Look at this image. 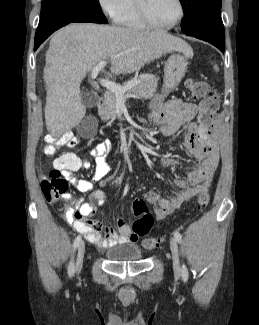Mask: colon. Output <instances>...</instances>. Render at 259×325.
<instances>
[{
    "label": "colon",
    "mask_w": 259,
    "mask_h": 325,
    "mask_svg": "<svg viewBox=\"0 0 259 325\" xmlns=\"http://www.w3.org/2000/svg\"><path fill=\"white\" fill-rule=\"evenodd\" d=\"M186 87L191 96L199 100L205 109V114L200 118L201 125L212 133L213 129H219L220 123L216 122L218 110L217 98L209 86L202 80L188 79ZM77 139L70 133H66L58 139H50L45 147L47 152L53 153L56 147L75 146ZM67 189V181L59 168H54L41 180V190L49 202H57L61 199ZM210 200L208 190H203L198 196V208H205ZM132 211L137 216L133 223V232L138 236H145L151 229L154 219L148 211V207L143 200H135L132 204ZM163 242L159 237H147L143 240V247L148 250L158 248Z\"/></svg>",
    "instance_id": "obj_1"
}]
</instances>
